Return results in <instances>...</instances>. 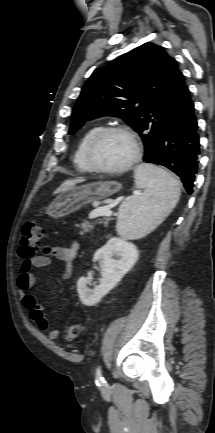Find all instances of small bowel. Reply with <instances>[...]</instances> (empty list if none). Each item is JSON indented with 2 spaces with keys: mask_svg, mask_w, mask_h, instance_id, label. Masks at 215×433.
I'll list each match as a JSON object with an SVG mask.
<instances>
[{
  "mask_svg": "<svg viewBox=\"0 0 215 433\" xmlns=\"http://www.w3.org/2000/svg\"><path fill=\"white\" fill-rule=\"evenodd\" d=\"M78 245L72 244L70 247H46L43 254H33L30 257H22L20 265V274L16 284L21 293L23 307L28 311L30 319L44 332H47L49 339L56 340L59 332L52 329L49 321L44 315L43 306L38 299L29 294L36 283V276L32 272L34 268H44L53 264L50 256L55 257L62 266L57 265L60 269V275L63 279H69L72 275V262L76 256Z\"/></svg>",
  "mask_w": 215,
  "mask_h": 433,
  "instance_id": "small-bowel-1",
  "label": "small bowel"
}]
</instances>
